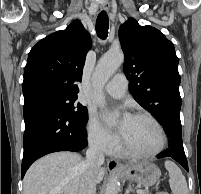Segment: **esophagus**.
<instances>
[{
    "mask_svg": "<svg viewBox=\"0 0 201 194\" xmlns=\"http://www.w3.org/2000/svg\"><path fill=\"white\" fill-rule=\"evenodd\" d=\"M100 9L103 11H107L109 9V4L108 3L101 4ZM120 167H121V164L117 160L109 159L107 161V168L109 170L119 169Z\"/></svg>",
    "mask_w": 201,
    "mask_h": 194,
    "instance_id": "34e87169",
    "label": "esophagus"
}]
</instances>
